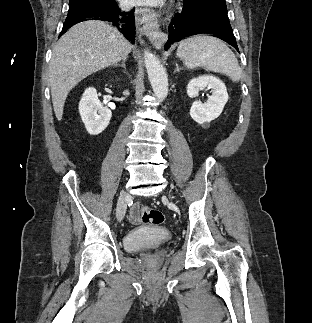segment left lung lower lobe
I'll return each instance as SVG.
<instances>
[{
	"instance_id": "left-lung-lower-lobe-1",
	"label": "left lung lower lobe",
	"mask_w": 312,
	"mask_h": 323,
	"mask_svg": "<svg viewBox=\"0 0 312 323\" xmlns=\"http://www.w3.org/2000/svg\"><path fill=\"white\" fill-rule=\"evenodd\" d=\"M168 30L165 50L186 37L211 34L229 43L239 52L225 0H198L193 5H184L182 11L171 19Z\"/></svg>"
}]
</instances>
